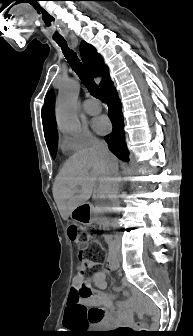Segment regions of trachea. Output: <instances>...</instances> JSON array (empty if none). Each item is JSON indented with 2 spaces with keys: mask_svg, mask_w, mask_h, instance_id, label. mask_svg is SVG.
I'll list each match as a JSON object with an SVG mask.
<instances>
[{
  "mask_svg": "<svg viewBox=\"0 0 193 336\" xmlns=\"http://www.w3.org/2000/svg\"><path fill=\"white\" fill-rule=\"evenodd\" d=\"M57 44L61 46L64 56L69 63L70 67L73 71L79 76L81 82L86 86L91 95L97 99L104 101V97L98 87V85L94 82L92 75L90 72L84 67V65L80 62L76 52L70 49L67 46V43L63 40L57 41Z\"/></svg>",
  "mask_w": 193,
  "mask_h": 336,
  "instance_id": "obj_1",
  "label": "trachea"
}]
</instances>
